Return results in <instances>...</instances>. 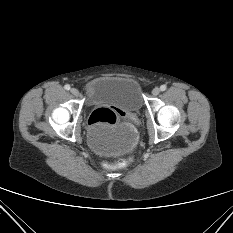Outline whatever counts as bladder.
I'll use <instances>...</instances> for the list:
<instances>
[{
	"label": "bladder",
	"mask_w": 233,
	"mask_h": 233,
	"mask_svg": "<svg viewBox=\"0 0 233 233\" xmlns=\"http://www.w3.org/2000/svg\"><path fill=\"white\" fill-rule=\"evenodd\" d=\"M86 97L91 105L112 104L126 111L136 112L143 104L138 82L125 76H106L92 79L85 86ZM134 126L124 124L110 133L90 130L87 135L89 147L95 153L114 157L129 152L137 142Z\"/></svg>",
	"instance_id": "bladder-1"
}]
</instances>
